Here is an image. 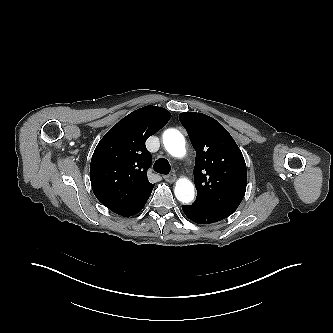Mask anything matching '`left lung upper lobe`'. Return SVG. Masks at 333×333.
Masks as SVG:
<instances>
[{"label":"left lung upper lobe","instance_id":"5c2ea615","mask_svg":"<svg viewBox=\"0 0 333 333\" xmlns=\"http://www.w3.org/2000/svg\"><path fill=\"white\" fill-rule=\"evenodd\" d=\"M179 120L196 150L195 202L231 215L241 203L247 186L246 164L239 147L212 117L184 112Z\"/></svg>","mask_w":333,"mask_h":333}]
</instances>
